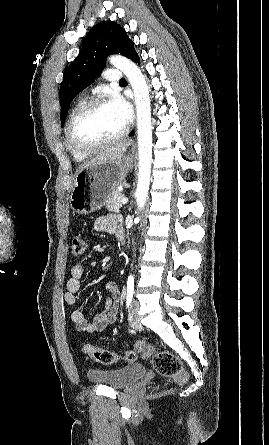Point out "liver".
<instances>
[{"label": "liver", "instance_id": "liver-1", "mask_svg": "<svg viewBox=\"0 0 269 445\" xmlns=\"http://www.w3.org/2000/svg\"><path fill=\"white\" fill-rule=\"evenodd\" d=\"M130 144H131L130 141H124L114 146L106 148L104 151L100 152L96 157L92 158L89 162L82 164L79 167L78 171L92 165L100 164L102 162H114L116 160L121 159Z\"/></svg>", "mask_w": 269, "mask_h": 445}]
</instances>
